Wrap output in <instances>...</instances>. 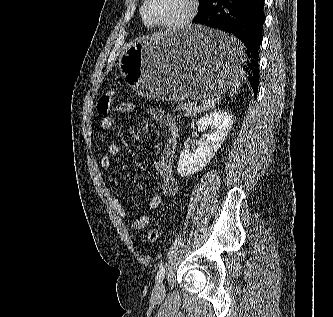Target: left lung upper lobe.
<instances>
[{
	"mask_svg": "<svg viewBox=\"0 0 333 317\" xmlns=\"http://www.w3.org/2000/svg\"><path fill=\"white\" fill-rule=\"evenodd\" d=\"M211 0H199V13L203 12Z\"/></svg>",
	"mask_w": 333,
	"mask_h": 317,
	"instance_id": "5c2ea615",
	"label": "left lung upper lobe"
}]
</instances>
